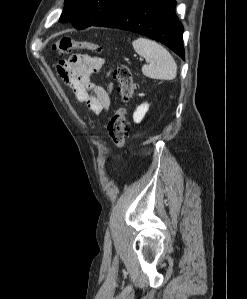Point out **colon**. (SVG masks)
<instances>
[{
  "label": "colon",
  "mask_w": 247,
  "mask_h": 299,
  "mask_svg": "<svg viewBox=\"0 0 247 299\" xmlns=\"http://www.w3.org/2000/svg\"><path fill=\"white\" fill-rule=\"evenodd\" d=\"M52 49L59 54H65L74 49L86 50L93 53H100L102 51L101 46L98 44L69 37H62L55 41L52 45ZM113 77L117 80L119 85L120 106L111 116L107 129L114 145L126 151L130 130V124L127 119V104L133 96L135 84L129 67L124 64H119L114 69Z\"/></svg>",
  "instance_id": "obj_1"
}]
</instances>
